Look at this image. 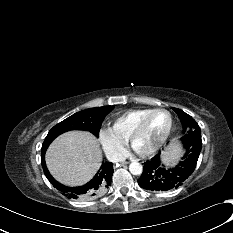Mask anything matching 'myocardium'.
Returning <instances> with one entry per match:
<instances>
[{
    "label": "myocardium",
    "mask_w": 233,
    "mask_h": 233,
    "mask_svg": "<svg viewBox=\"0 0 233 233\" xmlns=\"http://www.w3.org/2000/svg\"><path fill=\"white\" fill-rule=\"evenodd\" d=\"M165 112L168 114L169 117V124L168 127L164 133V135L161 137V139L152 147H150L149 149L146 150H139L136 146V141L138 139V137L141 135V133L144 130V127L148 121V119L151 117V115H153L156 112ZM172 125H173V116L171 114V112L166 109V108H155V109H151L147 114H145L136 124V126L134 127L133 131L131 132L129 139H128V144L130 145V147L132 148V150L137 153L140 156H150L152 154H154L156 151H158L167 141L171 130H172Z\"/></svg>",
    "instance_id": "f54148a6"
}]
</instances>
